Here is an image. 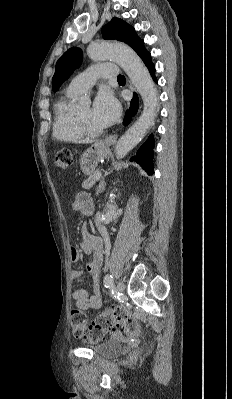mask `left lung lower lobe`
I'll list each match as a JSON object with an SVG mask.
<instances>
[{
    "instance_id": "1",
    "label": "left lung lower lobe",
    "mask_w": 232,
    "mask_h": 399,
    "mask_svg": "<svg viewBox=\"0 0 232 399\" xmlns=\"http://www.w3.org/2000/svg\"><path fill=\"white\" fill-rule=\"evenodd\" d=\"M136 53L140 56V58L143 60L145 65L150 71V74L152 75V78L155 82H157V79L155 77V66L151 61V55L150 53L142 46L140 49L136 51ZM139 104H138V95L134 93L133 99L131 101V106L130 109L126 111L125 118L123 121V124L126 126L130 123L132 116H134L137 113ZM153 145H154V140L153 136H149L148 140L140 147L137 157H132L130 160L135 161L138 163L140 166L143 167V169L149 174H153Z\"/></svg>"
}]
</instances>
